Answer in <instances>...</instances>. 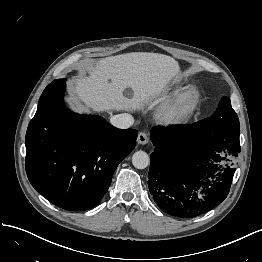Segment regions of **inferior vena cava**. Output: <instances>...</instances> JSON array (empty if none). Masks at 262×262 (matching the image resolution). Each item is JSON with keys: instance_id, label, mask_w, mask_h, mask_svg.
Returning a JSON list of instances; mask_svg holds the SVG:
<instances>
[{"instance_id": "602c4592", "label": "inferior vena cava", "mask_w": 262, "mask_h": 262, "mask_svg": "<svg viewBox=\"0 0 262 262\" xmlns=\"http://www.w3.org/2000/svg\"><path fill=\"white\" fill-rule=\"evenodd\" d=\"M110 122L119 129H127L133 125L134 118L128 113H122L112 116Z\"/></svg>"}]
</instances>
